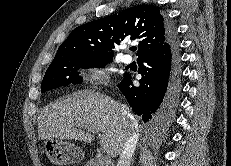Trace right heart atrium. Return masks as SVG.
Masks as SVG:
<instances>
[{
  "label": "right heart atrium",
  "instance_id": "right-heart-atrium-1",
  "mask_svg": "<svg viewBox=\"0 0 231 166\" xmlns=\"http://www.w3.org/2000/svg\"><path fill=\"white\" fill-rule=\"evenodd\" d=\"M85 75L90 84H98L102 79V69L96 65L88 66L85 70Z\"/></svg>",
  "mask_w": 231,
  "mask_h": 166
}]
</instances>
